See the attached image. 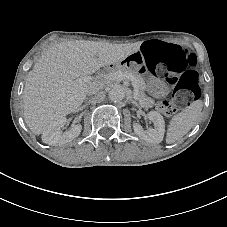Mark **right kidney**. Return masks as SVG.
Segmentation results:
<instances>
[{"mask_svg":"<svg viewBox=\"0 0 227 227\" xmlns=\"http://www.w3.org/2000/svg\"><path fill=\"white\" fill-rule=\"evenodd\" d=\"M66 122L67 118L65 116H61L46 126L42 131V142L55 146L66 144L78 137L82 129L80 125H73L68 132L62 133L61 126H63Z\"/></svg>","mask_w":227,"mask_h":227,"instance_id":"ca27d5eb","label":"right kidney"}]
</instances>
